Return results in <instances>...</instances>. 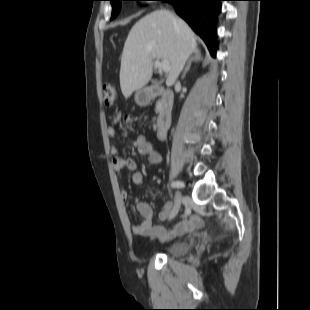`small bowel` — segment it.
I'll list each match as a JSON object with an SVG mask.
<instances>
[{"label":"small bowel","instance_id":"c3829d8e","mask_svg":"<svg viewBox=\"0 0 310 310\" xmlns=\"http://www.w3.org/2000/svg\"><path fill=\"white\" fill-rule=\"evenodd\" d=\"M108 136L113 143L118 139H122L127 144L135 147L138 152L146 156L153 165H160L163 162L160 152L144 136H138L135 139L122 137L119 131L114 127L108 128ZM111 154L115 172L120 174L125 169L134 171L131 178L133 184L141 185L144 182V176L142 173L136 171V163L132 158L121 156L114 144L111 149ZM120 196L122 200H127L128 192L126 190H121ZM174 205L175 202L173 201L166 202L163 211L159 214V218L161 220L166 219L168 213L174 208ZM134 208L140 216V221L132 226V231L138 236L167 241L185 233L193 232L202 225V219L199 216H192L190 218H182L172 228L167 229L163 226L153 224V210L149 204L137 202Z\"/></svg>","mask_w":310,"mask_h":310}]
</instances>
